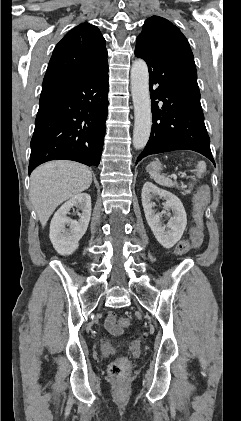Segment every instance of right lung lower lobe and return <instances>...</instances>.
Wrapping results in <instances>:
<instances>
[{
    "label": "right lung lower lobe",
    "instance_id": "obj_1",
    "mask_svg": "<svg viewBox=\"0 0 241 421\" xmlns=\"http://www.w3.org/2000/svg\"><path fill=\"white\" fill-rule=\"evenodd\" d=\"M108 62L43 86L31 140L29 174L55 159L98 166L108 113Z\"/></svg>",
    "mask_w": 241,
    "mask_h": 421
}]
</instances>
